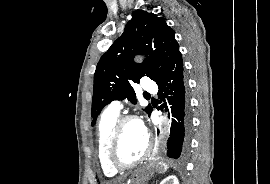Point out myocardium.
I'll list each match as a JSON object with an SVG mask.
<instances>
[{"mask_svg":"<svg viewBox=\"0 0 270 184\" xmlns=\"http://www.w3.org/2000/svg\"><path fill=\"white\" fill-rule=\"evenodd\" d=\"M131 121H136L142 124L140 119L135 115H124L122 117H119L113 127V130L109 138L108 147H107V160L109 164L118 171L126 170L142 163L145 159L149 157L152 151L153 141L149 133L146 132L147 146L144 153L138 159L128 162V163H123L119 161L117 157V150H118V146H119V142L121 138V133L125 124Z\"/></svg>","mask_w":270,"mask_h":184,"instance_id":"obj_1","label":"myocardium"}]
</instances>
